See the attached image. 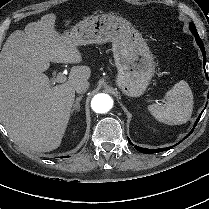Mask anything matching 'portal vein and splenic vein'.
Returning a JSON list of instances; mask_svg holds the SVG:
<instances>
[{"label": "portal vein and splenic vein", "mask_w": 209, "mask_h": 209, "mask_svg": "<svg viewBox=\"0 0 209 209\" xmlns=\"http://www.w3.org/2000/svg\"><path fill=\"white\" fill-rule=\"evenodd\" d=\"M66 81V77L63 75V73L59 72L54 79V83H64Z\"/></svg>", "instance_id": "18ae733b"}]
</instances>
